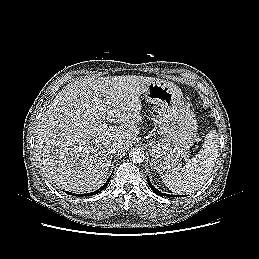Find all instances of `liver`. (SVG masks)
<instances>
[{"instance_id": "1", "label": "liver", "mask_w": 259, "mask_h": 259, "mask_svg": "<svg viewBox=\"0 0 259 259\" xmlns=\"http://www.w3.org/2000/svg\"><path fill=\"white\" fill-rule=\"evenodd\" d=\"M154 78L136 75L76 80L43 112L35 130L39 167L67 191L92 192L108 175L112 152H124L139 135L140 95ZM106 122L118 124L107 126Z\"/></svg>"}]
</instances>
